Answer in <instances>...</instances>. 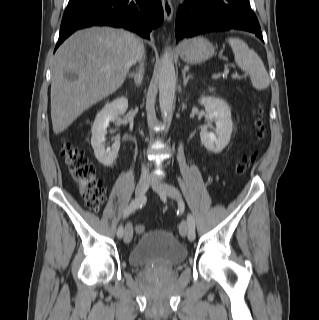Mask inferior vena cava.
<instances>
[{
	"label": "inferior vena cava",
	"instance_id": "inferior-vena-cava-1",
	"mask_svg": "<svg viewBox=\"0 0 319 320\" xmlns=\"http://www.w3.org/2000/svg\"><path fill=\"white\" fill-rule=\"evenodd\" d=\"M144 57V47L143 45L139 42L138 43V47H137V52H136V55H135V61H138V60H142ZM142 174L144 176L148 175V170L145 166L142 167Z\"/></svg>",
	"mask_w": 319,
	"mask_h": 320
}]
</instances>
